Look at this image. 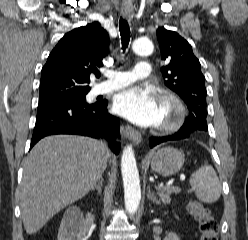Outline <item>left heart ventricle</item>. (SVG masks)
Listing matches in <instances>:
<instances>
[{
    "instance_id": "obj_1",
    "label": "left heart ventricle",
    "mask_w": 248,
    "mask_h": 240,
    "mask_svg": "<svg viewBox=\"0 0 248 240\" xmlns=\"http://www.w3.org/2000/svg\"><path fill=\"white\" fill-rule=\"evenodd\" d=\"M159 110L161 115V122L167 119L172 112V109L168 104L160 101H159Z\"/></svg>"
}]
</instances>
